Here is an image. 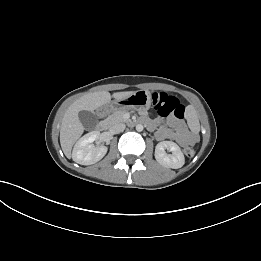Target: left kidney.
Returning a JSON list of instances; mask_svg holds the SVG:
<instances>
[{"mask_svg":"<svg viewBox=\"0 0 261 261\" xmlns=\"http://www.w3.org/2000/svg\"><path fill=\"white\" fill-rule=\"evenodd\" d=\"M165 149L170 150L172 154H167ZM155 159L159 164L172 169L181 168L185 163L180 147L172 141H162L156 145Z\"/></svg>","mask_w":261,"mask_h":261,"instance_id":"5707ae66","label":"left kidney"}]
</instances>
